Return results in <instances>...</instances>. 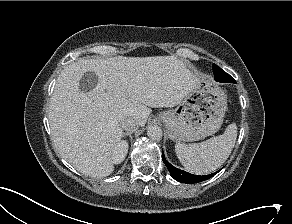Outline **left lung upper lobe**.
<instances>
[{
	"label": "left lung upper lobe",
	"mask_w": 292,
	"mask_h": 224,
	"mask_svg": "<svg viewBox=\"0 0 292 224\" xmlns=\"http://www.w3.org/2000/svg\"><path fill=\"white\" fill-rule=\"evenodd\" d=\"M225 72V71H224ZM213 73L215 76H222V69L219 68L217 65L213 64ZM214 76V78H215ZM228 82H231V81H228Z\"/></svg>",
	"instance_id": "left-lung-upper-lobe-1"
}]
</instances>
